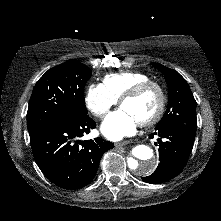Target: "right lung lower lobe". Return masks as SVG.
<instances>
[{
    "label": "right lung lower lobe",
    "mask_w": 221,
    "mask_h": 221,
    "mask_svg": "<svg viewBox=\"0 0 221 221\" xmlns=\"http://www.w3.org/2000/svg\"><path fill=\"white\" fill-rule=\"evenodd\" d=\"M95 127L87 114H79L64 124L30 133L35 161L52 183L64 189H78L93 180L102 155L114 147L101 138L79 140Z\"/></svg>",
    "instance_id": "right-lung-lower-lobe-1"
}]
</instances>
